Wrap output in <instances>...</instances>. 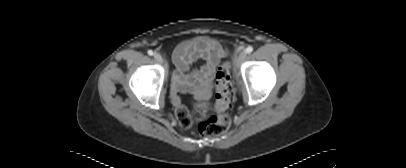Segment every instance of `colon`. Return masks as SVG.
I'll return each instance as SVG.
<instances>
[{
	"label": "colon",
	"instance_id": "obj_1",
	"mask_svg": "<svg viewBox=\"0 0 406 168\" xmlns=\"http://www.w3.org/2000/svg\"><path fill=\"white\" fill-rule=\"evenodd\" d=\"M216 104L218 114H209L207 106L196 104L192 109L184 105L177 106L175 110L179 124L184 128L192 126L193 122L198 125L199 133L203 137L218 136L224 133L231 122L230 116L225 112L231 102V79L227 63L222 64L216 73Z\"/></svg>",
	"mask_w": 406,
	"mask_h": 168
}]
</instances>
